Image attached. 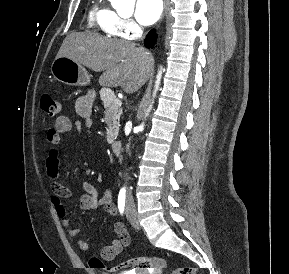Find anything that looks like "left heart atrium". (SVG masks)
Segmentation results:
<instances>
[{"label": "left heart atrium", "mask_w": 289, "mask_h": 274, "mask_svg": "<svg viewBox=\"0 0 289 274\" xmlns=\"http://www.w3.org/2000/svg\"><path fill=\"white\" fill-rule=\"evenodd\" d=\"M162 10V0H137L135 17L140 24L151 25L159 19Z\"/></svg>", "instance_id": "left-heart-atrium-1"}]
</instances>
